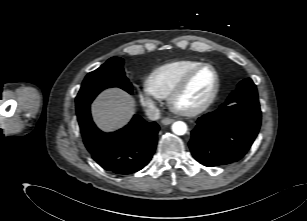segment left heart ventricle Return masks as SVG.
<instances>
[{
  "label": "left heart ventricle",
  "mask_w": 307,
  "mask_h": 221,
  "mask_svg": "<svg viewBox=\"0 0 307 221\" xmlns=\"http://www.w3.org/2000/svg\"><path fill=\"white\" fill-rule=\"evenodd\" d=\"M215 74L212 69L205 68L200 71L189 85L186 92L178 100L182 109H191L202 104L213 91Z\"/></svg>",
  "instance_id": "obj_1"
}]
</instances>
